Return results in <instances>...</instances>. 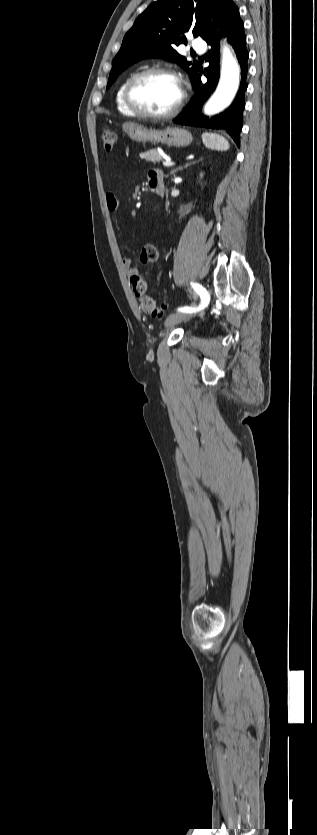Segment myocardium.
I'll return each instance as SVG.
<instances>
[{
	"instance_id": "myocardium-1",
	"label": "myocardium",
	"mask_w": 317,
	"mask_h": 835,
	"mask_svg": "<svg viewBox=\"0 0 317 835\" xmlns=\"http://www.w3.org/2000/svg\"><path fill=\"white\" fill-rule=\"evenodd\" d=\"M152 75H165L173 78L175 81L178 82L181 93L179 100L177 103L169 110L161 112V113H153L149 112L138 105L134 98V91L136 87L147 77ZM185 92L182 88V83L175 71L166 67H151L144 69L142 71L137 72L134 74L129 82L127 83L124 91V100L129 107V109L137 116L146 118V119H164L169 118L177 114L183 106L185 100Z\"/></svg>"
}]
</instances>
